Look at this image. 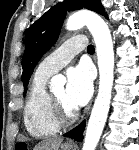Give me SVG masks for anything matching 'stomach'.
Wrapping results in <instances>:
<instances>
[{"label": "stomach", "instance_id": "obj_1", "mask_svg": "<svg viewBox=\"0 0 139 150\" xmlns=\"http://www.w3.org/2000/svg\"><path fill=\"white\" fill-rule=\"evenodd\" d=\"M61 150H74L73 148H71V147H67V146H62L61 147Z\"/></svg>", "mask_w": 139, "mask_h": 150}]
</instances>
